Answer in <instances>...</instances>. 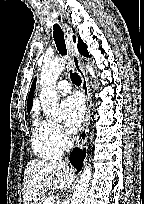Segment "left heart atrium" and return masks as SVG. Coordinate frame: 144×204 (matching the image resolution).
<instances>
[{
	"instance_id": "1",
	"label": "left heart atrium",
	"mask_w": 144,
	"mask_h": 204,
	"mask_svg": "<svg viewBox=\"0 0 144 204\" xmlns=\"http://www.w3.org/2000/svg\"><path fill=\"white\" fill-rule=\"evenodd\" d=\"M84 110L83 99L77 94H73L62 101L61 112L65 126L70 132H76L80 128Z\"/></svg>"
}]
</instances>
